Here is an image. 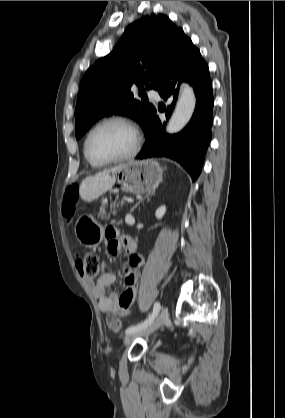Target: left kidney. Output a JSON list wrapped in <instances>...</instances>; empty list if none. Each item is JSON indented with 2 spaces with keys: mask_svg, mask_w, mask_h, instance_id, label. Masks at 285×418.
Returning a JSON list of instances; mask_svg holds the SVG:
<instances>
[{
  "mask_svg": "<svg viewBox=\"0 0 285 418\" xmlns=\"http://www.w3.org/2000/svg\"><path fill=\"white\" fill-rule=\"evenodd\" d=\"M165 212H166V206L165 205L160 206L156 210V213H155L156 218L161 219L164 216Z\"/></svg>",
  "mask_w": 285,
  "mask_h": 418,
  "instance_id": "obj_1",
  "label": "left kidney"
}]
</instances>
